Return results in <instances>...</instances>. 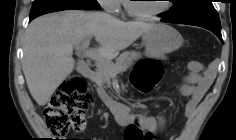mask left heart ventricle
Masks as SVG:
<instances>
[{"mask_svg":"<svg viewBox=\"0 0 236 140\" xmlns=\"http://www.w3.org/2000/svg\"><path fill=\"white\" fill-rule=\"evenodd\" d=\"M166 2L161 0H137L133 2V6L140 12L149 13L164 8Z\"/></svg>","mask_w":236,"mask_h":140,"instance_id":"1","label":"left heart ventricle"}]
</instances>
